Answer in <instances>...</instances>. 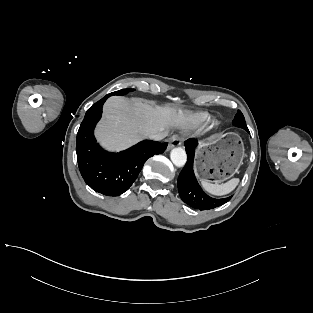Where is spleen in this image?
Segmentation results:
<instances>
[{
	"label": "spleen",
	"mask_w": 313,
	"mask_h": 313,
	"mask_svg": "<svg viewBox=\"0 0 313 313\" xmlns=\"http://www.w3.org/2000/svg\"><path fill=\"white\" fill-rule=\"evenodd\" d=\"M239 179L233 178L224 184H212L206 180L201 181V185L205 191L212 195L222 196L230 193L238 185Z\"/></svg>",
	"instance_id": "obj_1"
}]
</instances>
